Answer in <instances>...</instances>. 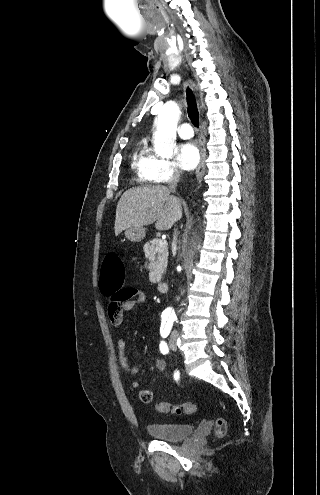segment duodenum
<instances>
[{
	"label": "duodenum",
	"mask_w": 320,
	"mask_h": 495,
	"mask_svg": "<svg viewBox=\"0 0 320 495\" xmlns=\"http://www.w3.org/2000/svg\"><path fill=\"white\" fill-rule=\"evenodd\" d=\"M168 288H169V285L166 281H160L158 283V290L161 292V293H165L168 291Z\"/></svg>",
	"instance_id": "obj_1"
}]
</instances>
